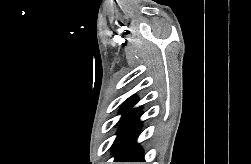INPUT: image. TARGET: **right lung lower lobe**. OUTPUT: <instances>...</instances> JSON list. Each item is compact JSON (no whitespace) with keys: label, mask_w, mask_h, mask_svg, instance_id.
I'll list each match as a JSON object with an SVG mask.
<instances>
[{"label":"right lung lower lobe","mask_w":251,"mask_h":164,"mask_svg":"<svg viewBox=\"0 0 251 164\" xmlns=\"http://www.w3.org/2000/svg\"><path fill=\"white\" fill-rule=\"evenodd\" d=\"M141 114L139 108H130L122 119L112 146L115 162H144L143 152L136 143L142 123L139 120Z\"/></svg>","instance_id":"right-lung-lower-lobe-1"}]
</instances>
